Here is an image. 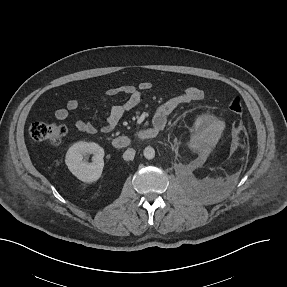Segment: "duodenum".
I'll return each instance as SVG.
<instances>
[{"label": "duodenum", "instance_id": "obj_1", "mask_svg": "<svg viewBox=\"0 0 287 287\" xmlns=\"http://www.w3.org/2000/svg\"><path fill=\"white\" fill-rule=\"evenodd\" d=\"M159 129L157 127H148L137 131L133 137L119 136L112 140V145L115 148H125L129 146L134 139L151 140L158 135Z\"/></svg>", "mask_w": 287, "mask_h": 287}]
</instances>
